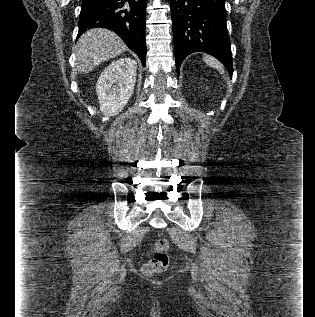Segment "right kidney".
<instances>
[{"label": "right kidney", "instance_id": "ca27d5eb", "mask_svg": "<svg viewBox=\"0 0 315 317\" xmlns=\"http://www.w3.org/2000/svg\"><path fill=\"white\" fill-rule=\"evenodd\" d=\"M137 63L131 58L113 61L100 75L96 93L105 116L122 111L134 92Z\"/></svg>", "mask_w": 315, "mask_h": 317}]
</instances>
